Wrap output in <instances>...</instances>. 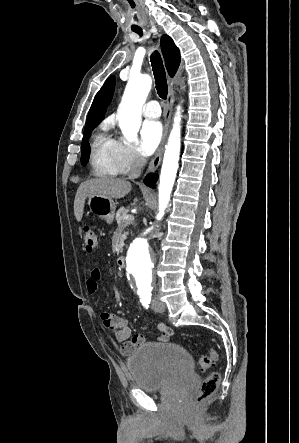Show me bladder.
Masks as SVG:
<instances>
[{
	"mask_svg": "<svg viewBox=\"0 0 299 443\" xmlns=\"http://www.w3.org/2000/svg\"><path fill=\"white\" fill-rule=\"evenodd\" d=\"M132 382L145 391H159L190 380L193 359L175 343H156L139 348L127 361Z\"/></svg>",
	"mask_w": 299,
	"mask_h": 443,
	"instance_id": "31cf9c89",
	"label": "bladder"
}]
</instances>
